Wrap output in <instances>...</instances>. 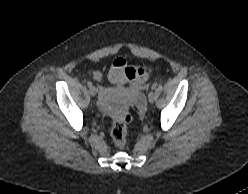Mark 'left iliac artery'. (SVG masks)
Wrapping results in <instances>:
<instances>
[{
    "mask_svg": "<svg viewBox=\"0 0 248 194\" xmlns=\"http://www.w3.org/2000/svg\"><path fill=\"white\" fill-rule=\"evenodd\" d=\"M152 89H156V84H153L152 85Z\"/></svg>",
    "mask_w": 248,
    "mask_h": 194,
    "instance_id": "left-iliac-artery-1",
    "label": "left iliac artery"
}]
</instances>
